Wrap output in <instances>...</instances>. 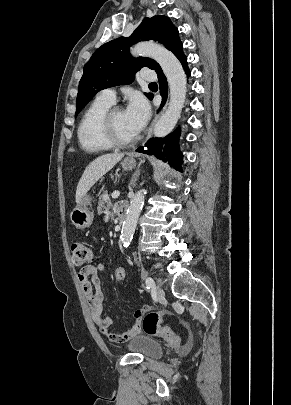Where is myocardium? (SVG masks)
Instances as JSON below:
<instances>
[{
    "label": "myocardium",
    "instance_id": "1",
    "mask_svg": "<svg viewBox=\"0 0 291 405\" xmlns=\"http://www.w3.org/2000/svg\"><path fill=\"white\" fill-rule=\"evenodd\" d=\"M123 111L120 106H114L110 108L104 115L101 124V130L104 139L109 145L117 148H127L133 146L139 139V136L136 135L134 138L129 140H123L119 138L115 132L113 119L116 113Z\"/></svg>",
    "mask_w": 291,
    "mask_h": 405
}]
</instances>
